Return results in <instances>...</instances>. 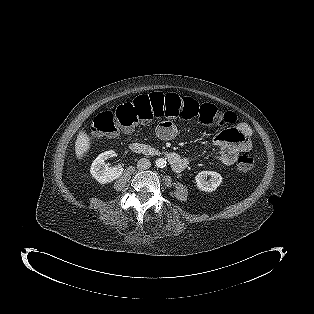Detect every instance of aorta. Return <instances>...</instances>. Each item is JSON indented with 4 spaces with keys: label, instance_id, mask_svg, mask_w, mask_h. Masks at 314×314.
Wrapping results in <instances>:
<instances>
[{
    "label": "aorta",
    "instance_id": "762f6f07",
    "mask_svg": "<svg viewBox=\"0 0 314 314\" xmlns=\"http://www.w3.org/2000/svg\"><path fill=\"white\" fill-rule=\"evenodd\" d=\"M155 164L158 168H164L167 164V161L165 158H158L156 161H155Z\"/></svg>",
    "mask_w": 314,
    "mask_h": 314
}]
</instances>
